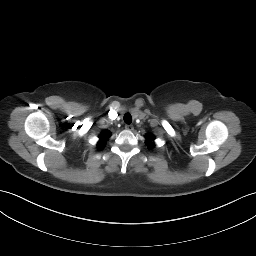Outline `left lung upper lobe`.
<instances>
[{
    "label": "left lung upper lobe",
    "instance_id": "5c2ea615",
    "mask_svg": "<svg viewBox=\"0 0 256 256\" xmlns=\"http://www.w3.org/2000/svg\"><path fill=\"white\" fill-rule=\"evenodd\" d=\"M153 139H154V138H153L152 136H150V135L147 136V140L149 141V142H148V145H149L150 148H153V147H154V144L150 142V141H152Z\"/></svg>",
    "mask_w": 256,
    "mask_h": 256
}]
</instances>
